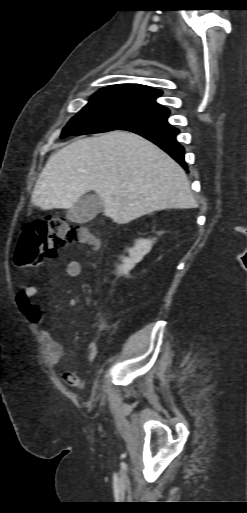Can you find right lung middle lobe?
Listing matches in <instances>:
<instances>
[{
  "instance_id": "right-lung-middle-lobe-1",
  "label": "right lung middle lobe",
  "mask_w": 247,
  "mask_h": 513,
  "mask_svg": "<svg viewBox=\"0 0 247 513\" xmlns=\"http://www.w3.org/2000/svg\"><path fill=\"white\" fill-rule=\"evenodd\" d=\"M168 113L167 108L150 104L131 93L101 89L69 121L62 131L61 138L69 135L121 130L128 124L153 119Z\"/></svg>"
}]
</instances>
